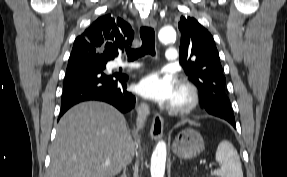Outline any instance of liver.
<instances>
[{
	"label": "liver",
	"instance_id": "obj_1",
	"mask_svg": "<svg viewBox=\"0 0 287 177\" xmlns=\"http://www.w3.org/2000/svg\"><path fill=\"white\" fill-rule=\"evenodd\" d=\"M134 150L118 110L102 102H84L58 123L47 177H113L132 161Z\"/></svg>",
	"mask_w": 287,
	"mask_h": 177
}]
</instances>
